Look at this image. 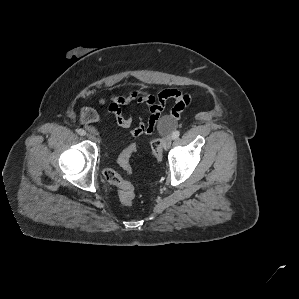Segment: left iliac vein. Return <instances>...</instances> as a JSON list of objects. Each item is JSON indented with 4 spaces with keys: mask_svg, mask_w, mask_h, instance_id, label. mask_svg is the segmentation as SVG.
Masks as SVG:
<instances>
[{
    "mask_svg": "<svg viewBox=\"0 0 299 299\" xmlns=\"http://www.w3.org/2000/svg\"><path fill=\"white\" fill-rule=\"evenodd\" d=\"M172 137L170 135L166 136L163 140L164 149L167 150L171 146Z\"/></svg>",
    "mask_w": 299,
    "mask_h": 299,
    "instance_id": "1",
    "label": "left iliac vein"
}]
</instances>
